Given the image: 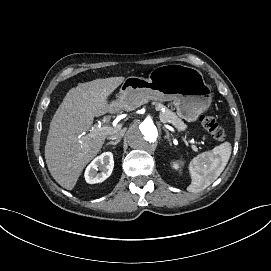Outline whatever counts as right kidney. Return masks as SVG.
Listing matches in <instances>:
<instances>
[{
    "mask_svg": "<svg viewBox=\"0 0 271 271\" xmlns=\"http://www.w3.org/2000/svg\"><path fill=\"white\" fill-rule=\"evenodd\" d=\"M114 160L111 152H105L95 158L85 171V179L90 184H95L107 179L113 170Z\"/></svg>",
    "mask_w": 271,
    "mask_h": 271,
    "instance_id": "right-kidney-1",
    "label": "right kidney"
}]
</instances>
